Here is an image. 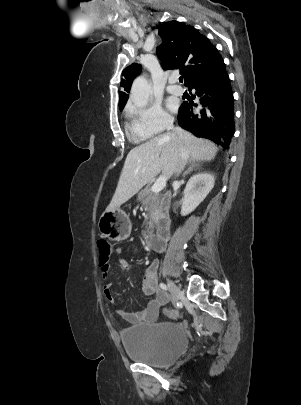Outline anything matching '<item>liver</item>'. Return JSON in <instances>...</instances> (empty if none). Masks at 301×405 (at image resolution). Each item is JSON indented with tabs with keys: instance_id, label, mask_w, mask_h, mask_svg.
Returning a JSON list of instances; mask_svg holds the SVG:
<instances>
[{
	"instance_id": "liver-1",
	"label": "liver",
	"mask_w": 301,
	"mask_h": 405,
	"mask_svg": "<svg viewBox=\"0 0 301 405\" xmlns=\"http://www.w3.org/2000/svg\"><path fill=\"white\" fill-rule=\"evenodd\" d=\"M180 144L186 146L190 162L210 161L218 152L213 142L197 138L187 131H183L182 139L173 132L154 137L128 153L115 194L107 210L119 208L161 171L166 177L172 176L179 158Z\"/></svg>"
}]
</instances>
